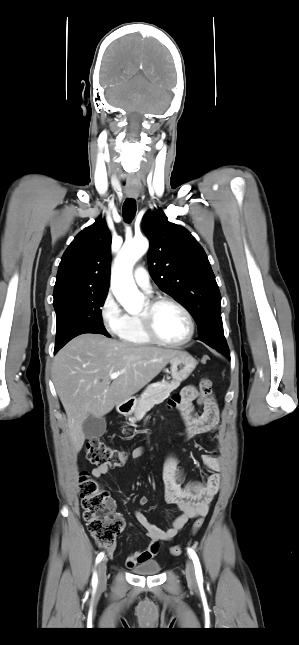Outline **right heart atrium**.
Listing matches in <instances>:
<instances>
[{"mask_svg":"<svg viewBox=\"0 0 299 645\" xmlns=\"http://www.w3.org/2000/svg\"><path fill=\"white\" fill-rule=\"evenodd\" d=\"M100 318L106 332L112 336H120L127 321L120 304L111 292H108L100 306Z\"/></svg>","mask_w":299,"mask_h":645,"instance_id":"right-heart-atrium-1","label":"right heart atrium"}]
</instances>
